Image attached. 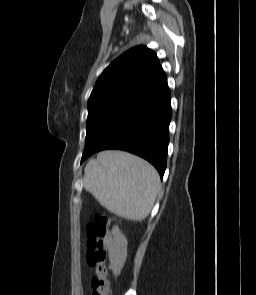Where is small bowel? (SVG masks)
I'll use <instances>...</instances> for the list:
<instances>
[{
  "instance_id": "c3829d8e",
  "label": "small bowel",
  "mask_w": 256,
  "mask_h": 295,
  "mask_svg": "<svg viewBox=\"0 0 256 295\" xmlns=\"http://www.w3.org/2000/svg\"><path fill=\"white\" fill-rule=\"evenodd\" d=\"M106 249L110 262L115 272L123 266L127 254V241L125 236L114 227L109 235L105 237Z\"/></svg>"
}]
</instances>
